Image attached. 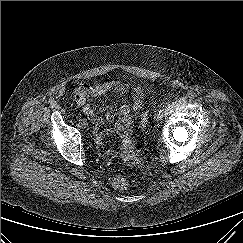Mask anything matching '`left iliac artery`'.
Instances as JSON below:
<instances>
[{"mask_svg": "<svg viewBox=\"0 0 243 243\" xmlns=\"http://www.w3.org/2000/svg\"><path fill=\"white\" fill-rule=\"evenodd\" d=\"M159 115H160V116L163 115V110H162V109L159 111Z\"/></svg>", "mask_w": 243, "mask_h": 243, "instance_id": "left-iliac-artery-1", "label": "left iliac artery"}]
</instances>
